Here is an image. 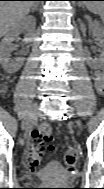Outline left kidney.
<instances>
[{"label":"left kidney","instance_id":"1","mask_svg":"<svg viewBox=\"0 0 104 189\" xmlns=\"http://www.w3.org/2000/svg\"><path fill=\"white\" fill-rule=\"evenodd\" d=\"M86 18L91 23L93 35L97 38V40L99 41V45L102 47L103 46V36H104L103 27L100 26V24L97 22H91L89 17L86 16ZM86 60H87V63L89 64V66H91V67L96 66V65H102L103 64V54H101L98 58H94V59L88 55Z\"/></svg>","mask_w":104,"mask_h":189}]
</instances>
